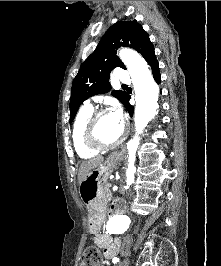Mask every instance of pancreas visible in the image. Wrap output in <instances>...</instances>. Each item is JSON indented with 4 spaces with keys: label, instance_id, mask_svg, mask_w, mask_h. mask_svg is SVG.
<instances>
[{
    "label": "pancreas",
    "instance_id": "obj_1",
    "mask_svg": "<svg viewBox=\"0 0 221 266\" xmlns=\"http://www.w3.org/2000/svg\"><path fill=\"white\" fill-rule=\"evenodd\" d=\"M110 187H111L110 184H106L104 186V193H105L106 198H108V200L112 199V194H111V191H110Z\"/></svg>",
    "mask_w": 221,
    "mask_h": 266
}]
</instances>
